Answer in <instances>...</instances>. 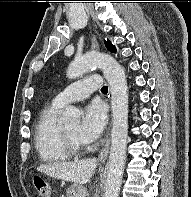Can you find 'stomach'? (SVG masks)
I'll return each instance as SVG.
<instances>
[{
    "label": "stomach",
    "instance_id": "stomach-1",
    "mask_svg": "<svg viewBox=\"0 0 191 197\" xmlns=\"http://www.w3.org/2000/svg\"><path fill=\"white\" fill-rule=\"evenodd\" d=\"M66 197H86V189L83 185L73 183L67 189Z\"/></svg>",
    "mask_w": 191,
    "mask_h": 197
}]
</instances>
